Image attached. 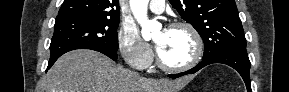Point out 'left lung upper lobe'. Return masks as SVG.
<instances>
[{
  "mask_svg": "<svg viewBox=\"0 0 289 92\" xmlns=\"http://www.w3.org/2000/svg\"><path fill=\"white\" fill-rule=\"evenodd\" d=\"M202 37L204 57L246 51V39L234 0H169Z\"/></svg>",
  "mask_w": 289,
  "mask_h": 92,
  "instance_id": "5c2ea615",
  "label": "left lung upper lobe"
}]
</instances>
